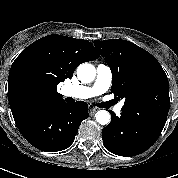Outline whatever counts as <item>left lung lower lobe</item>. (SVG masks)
Here are the masks:
<instances>
[{"label":"left lung lower lobe","mask_w":178,"mask_h":178,"mask_svg":"<svg viewBox=\"0 0 178 178\" xmlns=\"http://www.w3.org/2000/svg\"><path fill=\"white\" fill-rule=\"evenodd\" d=\"M111 113V122L102 130L105 147L120 156H134L149 149L162 129L150 122L137 119L124 112L118 117Z\"/></svg>","instance_id":"1"}]
</instances>
